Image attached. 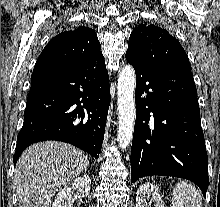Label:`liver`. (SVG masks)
Returning <instances> with one entry per match:
<instances>
[{
    "label": "liver",
    "instance_id": "liver-1",
    "mask_svg": "<svg viewBox=\"0 0 220 207\" xmlns=\"http://www.w3.org/2000/svg\"><path fill=\"white\" fill-rule=\"evenodd\" d=\"M79 149L57 141L31 145L20 156L14 173L19 207H50L51 199L87 169Z\"/></svg>",
    "mask_w": 220,
    "mask_h": 207
}]
</instances>
